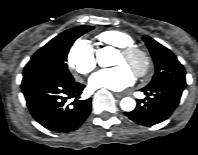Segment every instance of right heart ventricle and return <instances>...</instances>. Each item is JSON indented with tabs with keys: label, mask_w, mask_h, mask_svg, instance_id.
Instances as JSON below:
<instances>
[{
	"label": "right heart ventricle",
	"mask_w": 198,
	"mask_h": 155,
	"mask_svg": "<svg viewBox=\"0 0 198 155\" xmlns=\"http://www.w3.org/2000/svg\"><path fill=\"white\" fill-rule=\"evenodd\" d=\"M97 39L105 44L117 48L132 46L134 44V40L131 36H129L123 31L115 30V29H110L100 32L97 35Z\"/></svg>",
	"instance_id": "1"
}]
</instances>
